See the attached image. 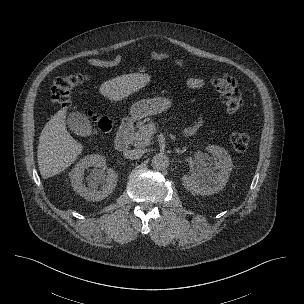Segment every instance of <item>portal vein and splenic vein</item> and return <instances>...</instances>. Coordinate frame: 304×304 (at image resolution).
Here are the masks:
<instances>
[{
	"instance_id": "obj_1",
	"label": "portal vein and splenic vein",
	"mask_w": 304,
	"mask_h": 304,
	"mask_svg": "<svg viewBox=\"0 0 304 304\" xmlns=\"http://www.w3.org/2000/svg\"><path fill=\"white\" fill-rule=\"evenodd\" d=\"M150 134H153L155 132V128L153 125H150V130H149Z\"/></svg>"
}]
</instances>
